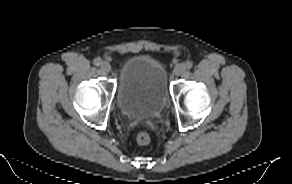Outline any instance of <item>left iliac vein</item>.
<instances>
[{"instance_id":"1","label":"left iliac vein","mask_w":292,"mask_h":184,"mask_svg":"<svg viewBox=\"0 0 292 184\" xmlns=\"http://www.w3.org/2000/svg\"><path fill=\"white\" fill-rule=\"evenodd\" d=\"M185 71V65L184 64H178L174 70H173V74L175 76H179L181 75L183 72Z\"/></svg>"}]
</instances>
